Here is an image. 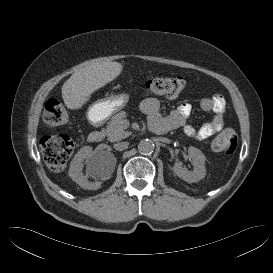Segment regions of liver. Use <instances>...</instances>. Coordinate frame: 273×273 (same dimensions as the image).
<instances>
[{
	"mask_svg": "<svg viewBox=\"0 0 273 273\" xmlns=\"http://www.w3.org/2000/svg\"><path fill=\"white\" fill-rule=\"evenodd\" d=\"M123 70L119 62L94 63L74 72L62 86V98L68 109L81 108L90 95L117 78Z\"/></svg>",
	"mask_w": 273,
	"mask_h": 273,
	"instance_id": "1",
	"label": "liver"
}]
</instances>
